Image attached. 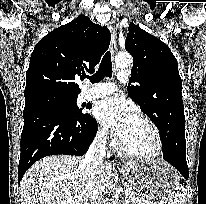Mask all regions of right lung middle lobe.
<instances>
[{"label":"right lung middle lobe","mask_w":206,"mask_h":204,"mask_svg":"<svg viewBox=\"0 0 206 204\" xmlns=\"http://www.w3.org/2000/svg\"><path fill=\"white\" fill-rule=\"evenodd\" d=\"M78 95H61L56 93H43L25 98V108L33 105L46 104L63 110L73 117L82 116V110L77 106Z\"/></svg>","instance_id":"right-lung-middle-lobe-1"}]
</instances>
